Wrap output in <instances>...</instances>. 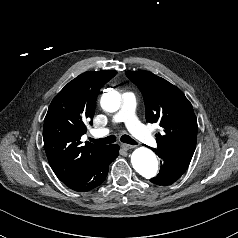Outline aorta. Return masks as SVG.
<instances>
[{
    "label": "aorta",
    "mask_w": 238,
    "mask_h": 238,
    "mask_svg": "<svg viewBox=\"0 0 238 238\" xmlns=\"http://www.w3.org/2000/svg\"><path fill=\"white\" fill-rule=\"evenodd\" d=\"M120 103V95L117 91H109L101 98L102 108L108 112L117 111ZM131 163L135 171L147 179L153 178L157 174V158L148 148L140 147L135 149L131 156Z\"/></svg>",
    "instance_id": "1"
}]
</instances>
